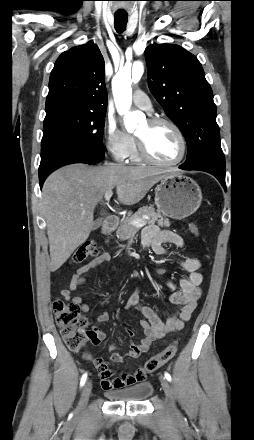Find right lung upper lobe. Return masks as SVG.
<instances>
[{
  "instance_id": "cb5924a9",
  "label": "right lung upper lobe",
  "mask_w": 254,
  "mask_h": 440,
  "mask_svg": "<svg viewBox=\"0 0 254 440\" xmlns=\"http://www.w3.org/2000/svg\"><path fill=\"white\" fill-rule=\"evenodd\" d=\"M59 105L107 110L104 59L93 42L71 48L57 59L50 74L46 109Z\"/></svg>"
}]
</instances>
